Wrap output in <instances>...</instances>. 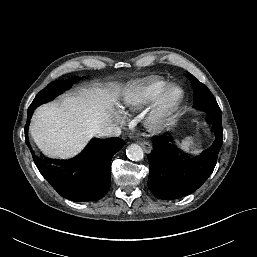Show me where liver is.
<instances>
[{
	"mask_svg": "<svg viewBox=\"0 0 257 257\" xmlns=\"http://www.w3.org/2000/svg\"><path fill=\"white\" fill-rule=\"evenodd\" d=\"M116 95L115 88H81L60 102L39 107L30 126L35 144L51 158L74 156L110 121Z\"/></svg>",
	"mask_w": 257,
	"mask_h": 257,
	"instance_id": "1",
	"label": "liver"
}]
</instances>
